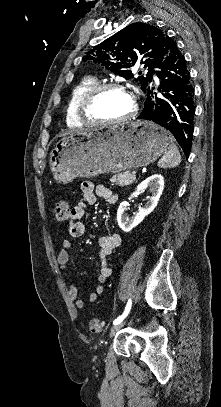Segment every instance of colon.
I'll list each match as a JSON object with an SVG mask.
<instances>
[{"instance_id": "1", "label": "colon", "mask_w": 221, "mask_h": 407, "mask_svg": "<svg viewBox=\"0 0 221 407\" xmlns=\"http://www.w3.org/2000/svg\"><path fill=\"white\" fill-rule=\"evenodd\" d=\"M71 213L72 209L67 203L61 202L56 206L55 214L59 222H70ZM88 329L93 334L101 333L104 331V323L98 318H93L88 323Z\"/></svg>"}]
</instances>
